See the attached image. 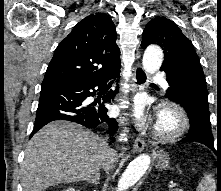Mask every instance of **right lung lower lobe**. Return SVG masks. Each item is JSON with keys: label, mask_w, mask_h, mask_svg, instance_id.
Wrapping results in <instances>:
<instances>
[{"label": "right lung lower lobe", "mask_w": 221, "mask_h": 191, "mask_svg": "<svg viewBox=\"0 0 221 191\" xmlns=\"http://www.w3.org/2000/svg\"><path fill=\"white\" fill-rule=\"evenodd\" d=\"M119 71L93 82L42 86L34 129L30 138L43 126L55 120H68L87 128H95L106 123L109 127V134L113 135L118 128L117 122L108 117L104 103L85 105L83 102L87 97L95 95V87L100 90L105 86L106 81L120 77ZM116 93L117 90L110 91L103 98L104 102H111Z\"/></svg>", "instance_id": "98d812e1"}]
</instances>
